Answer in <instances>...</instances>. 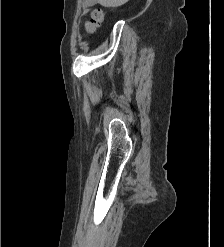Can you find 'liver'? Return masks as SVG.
Instances as JSON below:
<instances>
[{"label": "liver", "instance_id": "obj_1", "mask_svg": "<svg viewBox=\"0 0 224 247\" xmlns=\"http://www.w3.org/2000/svg\"><path fill=\"white\" fill-rule=\"evenodd\" d=\"M96 2L102 4L105 8H118V6H123V4H126L128 0H96Z\"/></svg>", "mask_w": 224, "mask_h": 247}]
</instances>
